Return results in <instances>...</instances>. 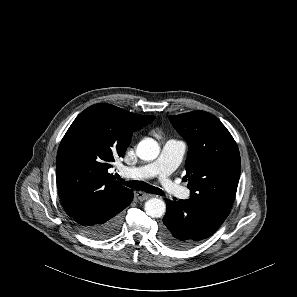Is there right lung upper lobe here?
Segmentation results:
<instances>
[{
	"label": "right lung upper lobe",
	"mask_w": 297,
	"mask_h": 297,
	"mask_svg": "<svg viewBox=\"0 0 297 297\" xmlns=\"http://www.w3.org/2000/svg\"><path fill=\"white\" fill-rule=\"evenodd\" d=\"M144 116L99 103L81 112L64 135L57 153L56 182L62 205L69 216L89 200L130 191L108 173L123 157L132 133L151 123Z\"/></svg>",
	"instance_id": "1"
}]
</instances>
